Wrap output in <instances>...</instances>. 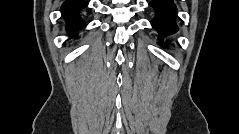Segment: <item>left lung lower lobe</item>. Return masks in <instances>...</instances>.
<instances>
[{
	"mask_svg": "<svg viewBox=\"0 0 239 134\" xmlns=\"http://www.w3.org/2000/svg\"><path fill=\"white\" fill-rule=\"evenodd\" d=\"M150 6L156 10L152 26L159 32V39L171 35L178 30L174 16L176 6L173 0H153L150 2Z\"/></svg>",
	"mask_w": 239,
	"mask_h": 134,
	"instance_id": "left-lung-lower-lobe-1",
	"label": "left lung lower lobe"
}]
</instances>
